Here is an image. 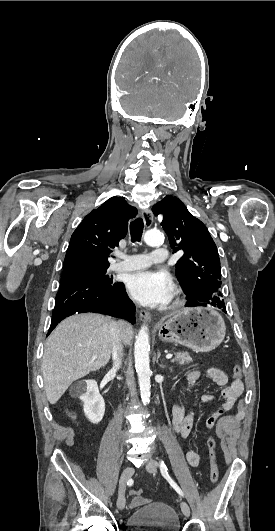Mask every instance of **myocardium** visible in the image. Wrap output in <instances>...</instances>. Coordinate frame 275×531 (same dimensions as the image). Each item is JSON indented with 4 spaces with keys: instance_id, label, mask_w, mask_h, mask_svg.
Wrapping results in <instances>:
<instances>
[{
    "instance_id": "1",
    "label": "myocardium",
    "mask_w": 275,
    "mask_h": 531,
    "mask_svg": "<svg viewBox=\"0 0 275 531\" xmlns=\"http://www.w3.org/2000/svg\"><path fill=\"white\" fill-rule=\"evenodd\" d=\"M181 301V292L178 288H173L170 293L169 305L170 307L177 306Z\"/></svg>"
}]
</instances>
